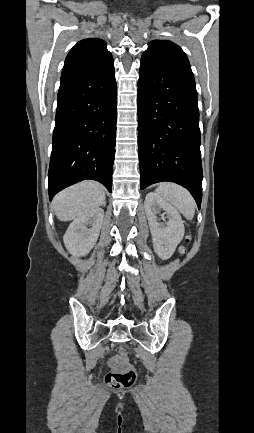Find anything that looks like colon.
<instances>
[{"label":"colon","mask_w":254,"mask_h":433,"mask_svg":"<svg viewBox=\"0 0 254 433\" xmlns=\"http://www.w3.org/2000/svg\"><path fill=\"white\" fill-rule=\"evenodd\" d=\"M111 367L112 372L106 376L107 384L115 388H129L134 385L136 372L124 357L114 359Z\"/></svg>","instance_id":"5ec220e1"}]
</instances>
